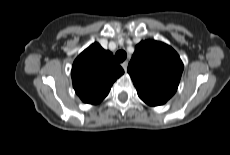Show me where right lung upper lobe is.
<instances>
[{"mask_svg": "<svg viewBox=\"0 0 230 155\" xmlns=\"http://www.w3.org/2000/svg\"><path fill=\"white\" fill-rule=\"evenodd\" d=\"M124 73L110 51L98 43L85 49L74 61L72 81L76 94L84 103L98 104L109 93L111 86Z\"/></svg>", "mask_w": 230, "mask_h": 155, "instance_id": "1", "label": "right lung upper lobe"}]
</instances>
